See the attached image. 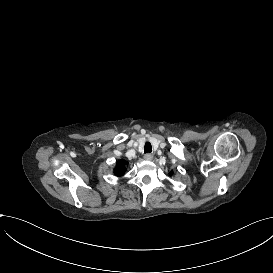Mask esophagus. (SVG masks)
Segmentation results:
<instances>
[{
    "label": "esophagus",
    "instance_id": "1",
    "mask_svg": "<svg viewBox=\"0 0 273 273\" xmlns=\"http://www.w3.org/2000/svg\"><path fill=\"white\" fill-rule=\"evenodd\" d=\"M144 159L147 160V161H151L153 159V155L150 154V153H146L144 155Z\"/></svg>",
    "mask_w": 273,
    "mask_h": 273
}]
</instances>
